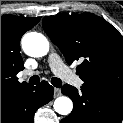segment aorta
Wrapping results in <instances>:
<instances>
[{"instance_id":"762f6f07","label":"aorta","mask_w":123,"mask_h":123,"mask_svg":"<svg viewBox=\"0 0 123 123\" xmlns=\"http://www.w3.org/2000/svg\"><path fill=\"white\" fill-rule=\"evenodd\" d=\"M23 51L31 57H43L49 52V41L37 32H30L22 38ZM73 109V102L66 96H60L54 101V110L60 115H69Z\"/></svg>"}]
</instances>
